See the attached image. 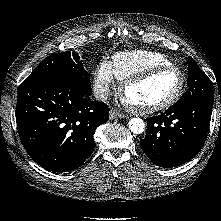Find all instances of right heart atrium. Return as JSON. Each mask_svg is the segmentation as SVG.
I'll use <instances>...</instances> for the list:
<instances>
[{
	"mask_svg": "<svg viewBox=\"0 0 221 221\" xmlns=\"http://www.w3.org/2000/svg\"><path fill=\"white\" fill-rule=\"evenodd\" d=\"M94 91L101 100L106 99L114 84V74L108 61H101L93 72Z\"/></svg>",
	"mask_w": 221,
	"mask_h": 221,
	"instance_id": "right-heart-atrium-1",
	"label": "right heart atrium"
}]
</instances>
